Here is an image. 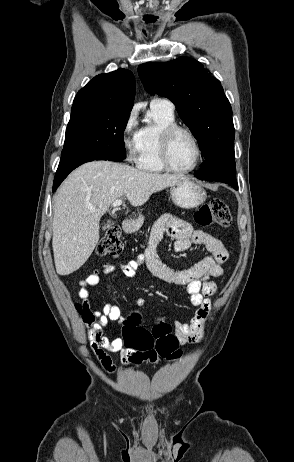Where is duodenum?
I'll return each instance as SVG.
<instances>
[{
    "label": "duodenum",
    "mask_w": 294,
    "mask_h": 462,
    "mask_svg": "<svg viewBox=\"0 0 294 462\" xmlns=\"http://www.w3.org/2000/svg\"><path fill=\"white\" fill-rule=\"evenodd\" d=\"M122 229L125 233H131L135 229V224L130 217H126L122 224Z\"/></svg>",
    "instance_id": "duodenum-1"
}]
</instances>
